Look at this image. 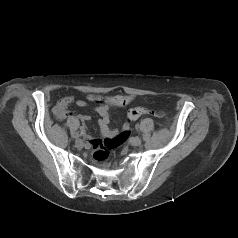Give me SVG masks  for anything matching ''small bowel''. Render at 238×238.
<instances>
[{
    "instance_id": "small-bowel-1",
    "label": "small bowel",
    "mask_w": 238,
    "mask_h": 238,
    "mask_svg": "<svg viewBox=\"0 0 238 238\" xmlns=\"http://www.w3.org/2000/svg\"><path fill=\"white\" fill-rule=\"evenodd\" d=\"M87 100L91 102H96L97 106L95 107V111L100 115V119L98 121L100 133L104 138H111L118 134L117 130H111L109 128V109L111 107L119 106L124 107L129 102L130 99L126 96H114V97H102L99 95L90 94L87 96ZM76 104L79 107H86L88 105L87 101L82 99H75L73 96H67L61 99L58 104L54 107V114L59 120H64L68 117L73 116L68 108L72 105ZM77 118L81 121H88L90 119L89 115L80 114L77 115ZM137 119V118H136ZM86 131V128L82 127V133ZM98 140L90 139L89 144L94 145Z\"/></svg>"
}]
</instances>
